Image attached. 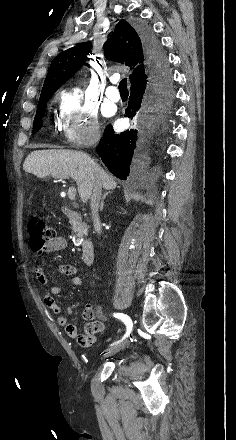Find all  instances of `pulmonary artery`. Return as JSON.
I'll list each match as a JSON object with an SVG mask.
<instances>
[{
  "label": "pulmonary artery",
  "mask_w": 236,
  "mask_h": 440,
  "mask_svg": "<svg viewBox=\"0 0 236 440\" xmlns=\"http://www.w3.org/2000/svg\"><path fill=\"white\" fill-rule=\"evenodd\" d=\"M106 96L114 102H117L120 100V94L118 92V90L116 89V87L114 85L109 86L106 90Z\"/></svg>",
  "instance_id": "pulmonary-artery-1"
}]
</instances>
